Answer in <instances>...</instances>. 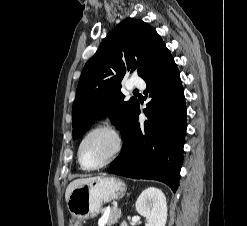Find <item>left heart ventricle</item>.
<instances>
[{"label": "left heart ventricle", "instance_id": "b2bd125f", "mask_svg": "<svg viewBox=\"0 0 247 226\" xmlns=\"http://www.w3.org/2000/svg\"><path fill=\"white\" fill-rule=\"evenodd\" d=\"M114 138L107 132L91 135L82 148V159L87 166H96L105 161L114 149Z\"/></svg>", "mask_w": 247, "mask_h": 226}]
</instances>
